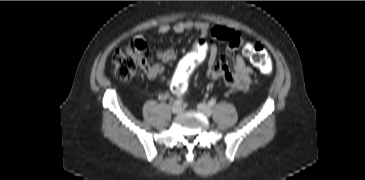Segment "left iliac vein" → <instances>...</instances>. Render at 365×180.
Here are the masks:
<instances>
[{
	"instance_id": "1",
	"label": "left iliac vein",
	"mask_w": 365,
	"mask_h": 180,
	"mask_svg": "<svg viewBox=\"0 0 365 180\" xmlns=\"http://www.w3.org/2000/svg\"><path fill=\"white\" fill-rule=\"evenodd\" d=\"M197 110L206 117H210L212 114L211 108L205 103H199L197 105Z\"/></svg>"
}]
</instances>
